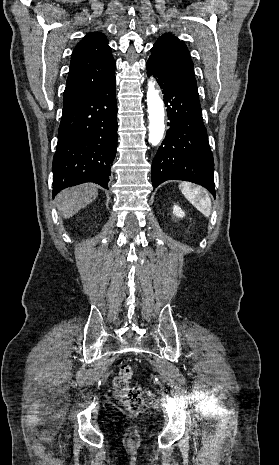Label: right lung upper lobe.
Here are the masks:
<instances>
[{"instance_id":"cb5924a9","label":"right lung upper lobe","mask_w":279,"mask_h":465,"mask_svg":"<svg viewBox=\"0 0 279 465\" xmlns=\"http://www.w3.org/2000/svg\"><path fill=\"white\" fill-rule=\"evenodd\" d=\"M115 61L106 36L87 34L75 47L63 95V111L88 98L115 72Z\"/></svg>"}]
</instances>
